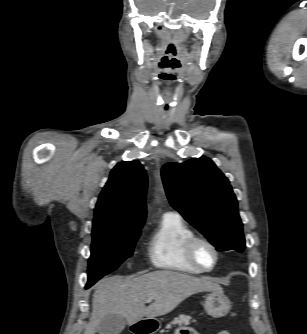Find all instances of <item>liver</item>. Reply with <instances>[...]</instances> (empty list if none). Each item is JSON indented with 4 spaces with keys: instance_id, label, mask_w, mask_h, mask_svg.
I'll return each instance as SVG.
<instances>
[{
    "instance_id": "liver-1",
    "label": "liver",
    "mask_w": 307,
    "mask_h": 334,
    "mask_svg": "<svg viewBox=\"0 0 307 334\" xmlns=\"http://www.w3.org/2000/svg\"><path fill=\"white\" fill-rule=\"evenodd\" d=\"M203 291H222L219 284L207 278L163 270L123 279L113 276L96 284L92 314L83 334H95L98 325L110 314H118L129 325L143 317L154 318L175 309L190 295ZM154 302L145 306V301Z\"/></svg>"
}]
</instances>
